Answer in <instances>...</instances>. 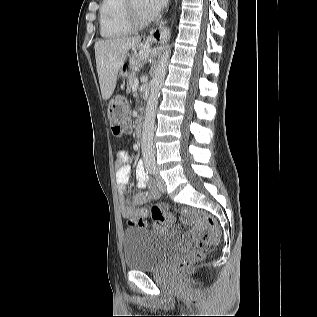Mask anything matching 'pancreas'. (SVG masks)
<instances>
[{"instance_id":"1","label":"pancreas","mask_w":317,"mask_h":317,"mask_svg":"<svg viewBox=\"0 0 317 317\" xmlns=\"http://www.w3.org/2000/svg\"><path fill=\"white\" fill-rule=\"evenodd\" d=\"M136 71L133 72L132 75H128V79H127V88H126V91L128 93H133L135 91V88L133 87L134 86V82L136 80Z\"/></svg>"}]
</instances>
